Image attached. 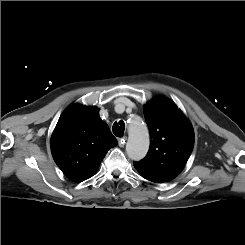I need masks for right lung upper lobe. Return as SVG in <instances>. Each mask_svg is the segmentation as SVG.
Masks as SVG:
<instances>
[{"label": "right lung upper lobe", "instance_id": "cb5924a9", "mask_svg": "<svg viewBox=\"0 0 245 245\" xmlns=\"http://www.w3.org/2000/svg\"><path fill=\"white\" fill-rule=\"evenodd\" d=\"M97 107L74 104L65 109L51 137L54 161L69 179L93 176L109 149L117 145Z\"/></svg>", "mask_w": 245, "mask_h": 245}]
</instances>
